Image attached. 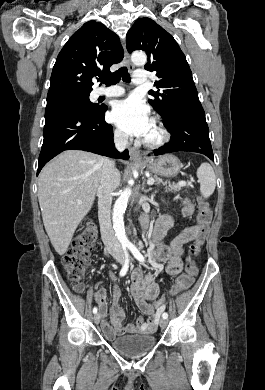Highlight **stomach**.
<instances>
[{"instance_id": "stomach-1", "label": "stomach", "mask_w": 265, "mask_h": 390, "mask_svg": "<svg viewBox=\"0 0 265 390\" xmlns=\"http://www.w3.org/2000/svg\"><path fill=\"white\" fill-rule=\"evenodd\" d=\"M145 166L147 170L164 177H175L179 173L182 163L180 160L172 155L166 154L157 159H149L146 161Z\"/></svg>"}]
</instances>
